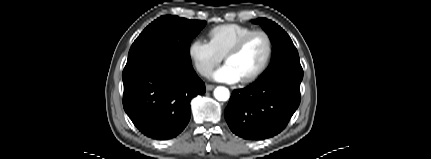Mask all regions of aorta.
<instances>
[{"instance_id":"1","label":"aorta","mask_w":431,"mask_h":159,"mask_svg":"<svg viewBox=\"0 0 431 159\" xmlns=\"http://www.w3.org/2000/svg\"><path fill=\"white\" fill-rule=\"evenodd\" d=\"M214 96L218 101H227L230 97V93L227 88L219 86L214 90Z\"/></svg>"}]
</instances>
